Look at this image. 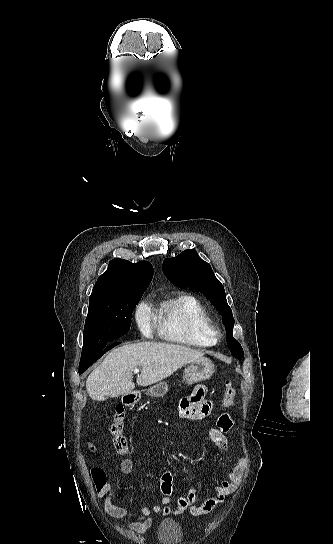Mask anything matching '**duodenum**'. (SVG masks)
<instances>
[{
    "label": "duodenum",
    "instance_id": "1",
    "mask_svg": "<svg viewBox=\"0 0 333 544\" xmlns=\"http://www.w3.org/2000/svg\"><path fill=\"white\" fill-rule=\"evenodd\" d=\"M124 402L127 404V405H132L134 403V396L132 395H126L125 398H124Z\"/></svg>",
    "mask_w": 333,
    "mask_h": 544
}]
</instances>
